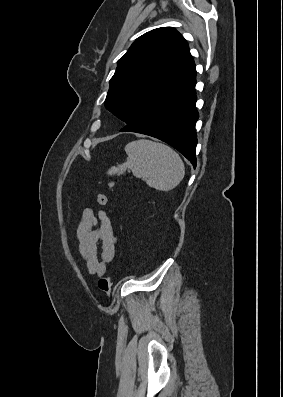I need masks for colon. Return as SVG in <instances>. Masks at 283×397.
<instances>
[{
	"label": "colon",
	"mask_w": 283,
	"mask_h": 397,
	"mask_svg": "<svg viewBox=\"0 0 283 397\" xmlns=\"http://www.w3.org/2000/svg\"><path fill=\"white\" fill-rule=\"evenodd\" d=\"M97 202L99 205L104 206L107 204L108 198L104 193H99L97 195ZM98 287L103 293L110 294L112 289L111 278L109 276L101 277L98 281Z\"/></svg>",
	"instance_id": "5ec220e1"
}]
</instances>
